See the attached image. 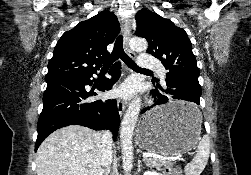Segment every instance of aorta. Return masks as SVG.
I'll return each mask as SVG.
<instances>
[{
	"mask_svg": "<svg viewBox=\"0 0 251 175\" xmlns=\"http://www.w3.org/2000/svg\"><path fill=\"white\" fill-rule=\"evenodd\" d=\"M130 46L134 52H146L148 44L146 40L142 38H132L130 40ZM141 107L140 97H134L133 101L129 103L126 113L122 119L120 127V141H121V151L123 159V169L126 173L131 171L133 165V131L138 119L139 111Z\"/></svg>",
	"mask_w": 251,
	"mask_h": 175,
	"instance_id": "1",
	"label": "aorta"
}]
</instances>
